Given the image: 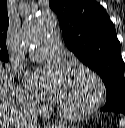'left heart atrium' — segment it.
<instances>
[{
    "label": "left heart atrium",
    "instance_id": "obj_1",
    "mask_svg": "<svg viewBox=\"0 0 125 128\" xmlns=\"http://www.w3.org/2000/svg\"><path fill=\"white\" fill-rule=\"evenodd\" d=\"M68 74L61 66L40 67L25 76V85L37 97L58 102L64 91Z\"/></svg>",
    "mask_w": 125,
    "mask_h": 128
}]
</instances>
